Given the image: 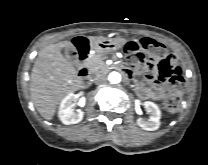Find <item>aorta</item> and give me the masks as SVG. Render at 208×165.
Listing matches in <instances>:
<instances>
[{"instance_id": "obj_1", "label": "aorta", "mask_w": 208, "mask_h": 165, "mask_svg": "<svg viewBox=\"0 0 208 165\" xmlns=\"http://www.w3.org/2000/svg\"><path fill=\"white\" fill-rule=\"evenodd\" d=\"M108 80L112 84H118L121 81V75L118 72L113 71L109 74Z\"/></svg>"}]
</instances>
